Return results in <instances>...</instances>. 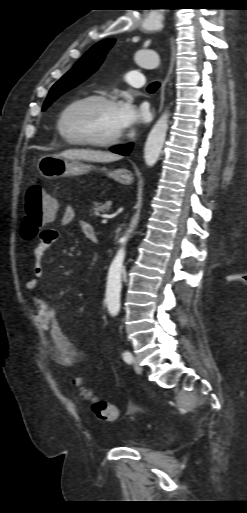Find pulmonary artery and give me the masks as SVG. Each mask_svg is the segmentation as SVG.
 Instances as JSON below:
<instances>
[{
    "label": "pulmonary artery",
    "mask_w": 247,
    "mask_h": 513,
    "mask_svg": "<svg viewBox=\"0 0 247 513\" xmlns=\"http://www.w3.org/2000/svg\"><path fill=\"white\" fill-rule=\"evenodd\" d=\"M126 81L134 87H142L145 84V79L142 73L138 70H130L125 75Z\"/></svg>",
    "instance_id": "1"
}]
</instances>
